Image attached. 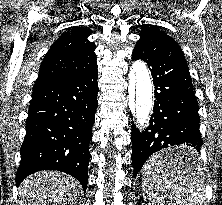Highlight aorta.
<instances>
[{
    "mask_svg": "<svg viewBox=\"0 0 222 205\" xmlns=\"http://www.w3.org/2000/svg\"><path fill=\"white\" fill-rule=\"evenodd\" d=\"M128 77L127 98L131 117L139 129H144L153 106L152 83L145 62L135 61Z\"/></svg>",
    "mask_w": 222,
    "mask_h": 205,
    "instance_id": "762f6f07",
    "label": "aorta"
}]
</instances>
